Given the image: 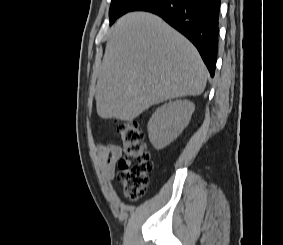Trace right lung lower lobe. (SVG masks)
<instances>
[{"label": "right lung lower lobe", "mask_w": 283, "mask_h": 245, "mask_svg": "<svg viewBox=\"0 0 283 245\" xmlns=\"http://www.w3.org/2000/svg\"><path fill=\"white\" fill-rule=\"evenodd\" d=\"M137 10L159 15L185 35L196 46L214 76L220 0H143L131 11Z\"/></svg>", "instance_id": "obj_1"}]
</instances>
